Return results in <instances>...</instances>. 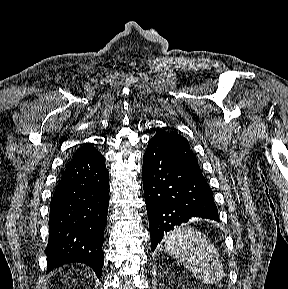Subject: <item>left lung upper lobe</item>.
<instances>
[{
	"mask_svg": "<svg viewBox=\"0 0 288 289\" xmlns=\"http://www.w3.org/2000/svg\"><path fill=\"white\" fill-rule=\"evenodd\" d=\"M151 139H154L161 144L177 160L200 171L198 160L190 150L187 139L177 132H167L163 129Z\"/></svg>",
	"mask_w": 288,
	"mask_h": 289,
	"instance_id": "obj_1",
	"label": "left lung upper lobe"
}]
</instances>
